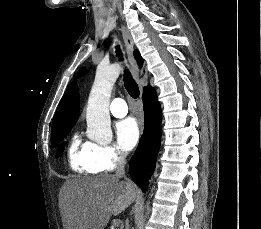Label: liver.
I'll use <instances>...</instances> for the list:
<instances>
[{
	"instance_id": "liver-1",
	"label": "liver",
	"mask_w": 261,
	"mask_h": 229,
	"mask_svg": "<svg viewBox=\"0 0 261 229\" xmlns=\"http://www.w3.org/2000/svg\"><path fill=\"white\" fill-rule=\"evenodd\" d=\"M64 193L66 229H105L111 215H120L137 199L135 185L113 175L70 179Z\"/></svg>"
}]
</instances>
